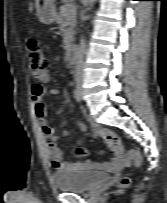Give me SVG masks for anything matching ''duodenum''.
Returning a JSON list of instances; mask_svg holds the SVG:
<instances>
[{
    "label": "duodenum",
    "mask_w": 167,
    "mask_h": 203,
    "mask_svg": "<svg viewBox=\"0 0 167 203\" xmlns=\"http://www.w3.org/2000/svg\"><path fill=\"white\" fill-rule=\"evenodd\" d=\"M65 58L69 63H73L76 60V51L73 45H69L66 48Z\"/></svg>",
    "instance_id": "duodenum-1"
}]
</instances>
